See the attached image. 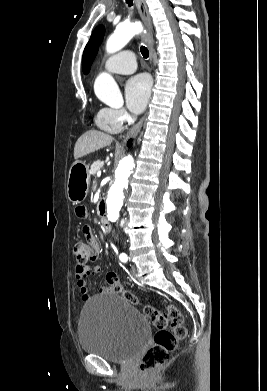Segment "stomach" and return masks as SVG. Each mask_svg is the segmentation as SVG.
Wrapping results in <instances>:
<instances>
[{"mask_svg":"<svg viewBox=\"0 0 267 391\" xmlns=\"http://www.w3.org/2000/svg\"><path fill=\"white\" fill-rule=\"evenodd\" d=\"M90 184L89 166L76 161L72 164L67 179V197L73 204L81 203L87 196Z\"/></svg>","mask_w":267,"mask_h":391,"instance_id":"stomach-1","label":"stomach"}]
</instances>
